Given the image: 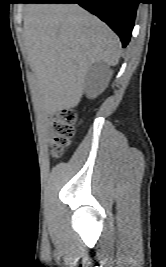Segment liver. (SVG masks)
<instances>
[{"label":"liver","instance_id":"1","mask_svg":"<svg viewBox=\"0 0 166 267\" xmlns=\"http://www.w3.org/2000/svg\"><path fill=\"white\" fill-rule=\"evenodd\" d=\"M24 43L47 113L77 106L94 63L115 66L117 35L77 4H31L24 17Z\"/></svg>","mask_w":166,"mask_h":267}]
</instances>
